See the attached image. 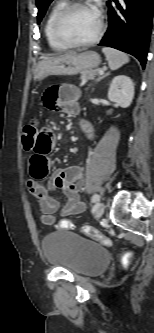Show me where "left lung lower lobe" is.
<instances>
[{
    "label": "left lung lower lobe",
    "instance_id": "left-lung-lower-lobe-1",
    "mask_svg": "<svg viewBox=\"0 0 154 333\" xmlns=\"http://www.w3.org/2000/svg\"><path fill=\"white\" fill-rule=\"evenodd\" d=\"M108 6V30L98 45L135 56L145 68L151 40L154 0H112Z\"/></svg>",
    "mask_w": 154,
    "mask_h": 333
}]
</instances>
